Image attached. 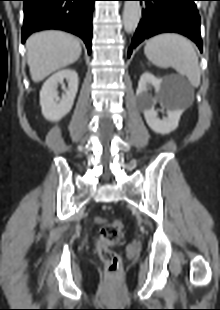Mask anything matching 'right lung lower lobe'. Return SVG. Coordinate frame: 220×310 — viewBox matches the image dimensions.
I'll return each mask as SVG.
<instances>
[{
  "label": "right lung lower lobe",
  "mask_w": 220,
  "mask_h": 310,
  "mask_svg": "<svg viewBox=\"0 0 220 310\" xmlns=\"http://www.w3.org/2000/svg\"><path fill=\"white\" fill-rule=\"evenodd\" d=\"M22 42L36 31L60 29L79 36L91 52L95 0H23Z\"/></svg>",
  "instance_id": "obj_1"
}]
</instances>
